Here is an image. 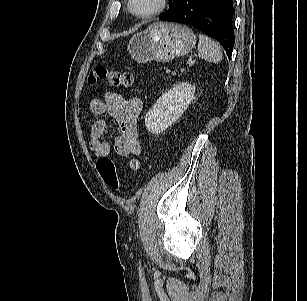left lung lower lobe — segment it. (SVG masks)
Here are the masks:
<instances>
[{
	"label": "left lung lower lobe",
	"mask_w": 307,
	"mask_h": 301,
	"mask_svg": "<svg viewBox=\"0 0 307 301\" xmlns=\"http://www.w3.org/2000/svg\"><path fill=\"white\" fill-rule=\"evenodd\" d=\"M233 0H181L159 19L194 26L215 38L231 58L234 47Z\"/></svg>",
	"instance_id": "left-lung-lower-lobe-1"
}]
</instances>
